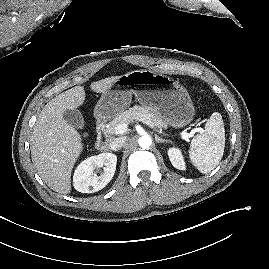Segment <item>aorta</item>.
Returning <instances> with one entry per match:
<instances>
[{"mask_svg": "<svg viewBox=\"0 0 269 269\" xmlns=\"http://www.w3.org/2000/svg\"><path fill=\"white\" fill-rule=\"evenodd\" d=\"M138 144L141 148L147 149L152 145V139L149 135L141 136L138 139Z\"/></svg>", "mask_w": 269, "mask_h": 269, "instance_id": "aorta-1", "label": "aorta"}]
</instances>
